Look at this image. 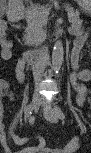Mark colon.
Listing matches in <instances>:
<instances>
[{
    "label": "colon",
    "mask_w": 91,
    "mask_h": 153,
    "mask_svg": "<svg viewBox=\"0 0 91 153\" xmlns=\"http://www.w3.org/2000/svg\"><path fill=\"white\" fill-rule=\"evenodd\" d=\"M3 28L6 29V24H5V23L0 24V31H3ZM0 37L2 38L3 41L6 40V34H5L4 36H2V35L0 34Z\"/></svg>",
    "instance_id": "colon-1"
}]
</instances>
